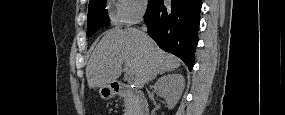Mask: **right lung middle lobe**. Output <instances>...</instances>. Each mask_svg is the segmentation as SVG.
Returning <instances> with one entry per match:
<instances>
[{"instance_id":"dd1d6c3e","label":"right lung middle lobe","mask_w":285,"mask_h":115,"mask_svg":"<svg viewBox=\"0 0 285 115\" xmlns=\"http://www.w3.org/2000/svg\"><path fill=\"white\" fill-rule=\"evenodd\" d=\"M106 0H91L88 7L87 36H92L97 30L108 26L109 16L105 10Z\"/></svg>"}]
</instances>
